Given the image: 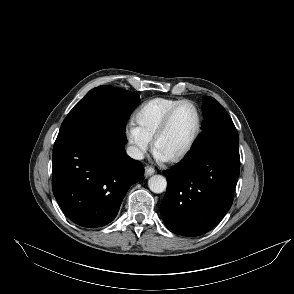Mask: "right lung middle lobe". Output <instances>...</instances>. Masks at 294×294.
Instances as JSON below:
<instances>
[{
	"label": "right lung middle lobe",
	"mask_w": 294,
	"mask_h": 294,
	"mask_svg": "<svg viewBox=\"0 0 294 294\" xmlns=\"http://www.w3.org/2000/svg\"><path fill=\"white\" fill-rule=\"evenodd\" d=\"M96 91L105 92L110 101L103 103L98 100ZM138 100L137 94L120 88H94L69 112L57 138L112 128L125 131L127 117Z\"/></svg>",
	"instance_id": "1"
}]
</instances>
